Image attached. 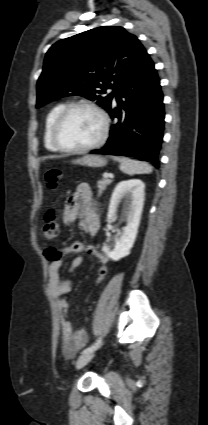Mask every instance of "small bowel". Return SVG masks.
Returning <instances> with one entry per match:
<instances>
[{
  "label": "small bowel",
  "mask_w": 208,
  "mask_h": 425,
  "mask_svg": "<svg viewBox=\"0 0 208 425\" xmlns=\"http://www.w3.org/2000/svg\"><path fill=\"white\" fill-rule=\"evenodd\" d=\"M79 220L80 228L94 236L99 228V218L95 211L93 194L87 183H80L74 193L68 198L63 213L65 223H73ZM62 257L68 254L87 253L96 257L102 266L106 267L108 258L100 253L92 244H84L82 241H74L69 247L60 250ZM83 262L82 256L75 257L67 272L73 273ZM49 289L55 298L59 312V321L61 326L62 349L65 355L72 356L79 348L87 342V332L84 329L74 331L68 320V303L65 295L71 290V282L63 278L62 258L51 261L49 265Z\"/></svg>",
  "instance_id": "1"
}]
</instances>
